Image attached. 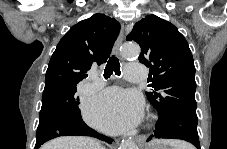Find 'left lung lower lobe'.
<instances>
[{"instance_id":"obj_1","label":"left lung lower lobe","mask_w":227,"mask_h":149,"mask_svg":"<svg viewBox=\"0 0 227 149\" xmlns=\"http://www.w3.org/2000/svg\"><path fill=\"white\" fill-rule=\"evenodd\" d=\"M197 124V115L193 113L178 110L160 113L154 133L147 141L155 138L181 139L192 143L200 149Z\"/></svg>"}]
</instances>
